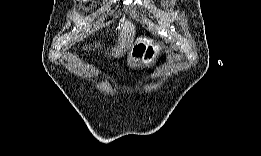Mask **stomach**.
I'll list each match as a JSON object with an SVG mask.
<instances>
[{
  "label": "stomach",
  "mask_w": 261,
  "mask_h": 156,
  "mask_svg": "<svg viewBox=\"0 0 261 156\" xmlns=\"http://www.w3.org/2000/svg\"><path fill=\"white\" fill-rule=\"evenodd\" d=\"M159 52V47L152 43V41L144 37H139L129 51L130 61L151 62L155 60Z\"/></svg>",
  "instance_id": "1"
}]
</instances>
